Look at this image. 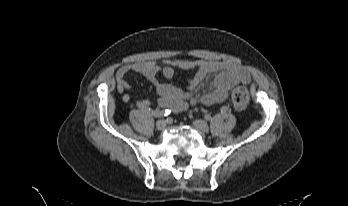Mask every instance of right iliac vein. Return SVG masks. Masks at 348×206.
I'll list each match as a JSON object with an SVG mask.
<instances>
[{
    "label": "right iliac vein",
    "instance_id": "1",
    "mask_svg": "<svg viewBox=\"0 0 348 206\" xmlns=\"http://www.w3.org/2000/svg\"><path fill=\"white\" fill-rule=\"evenodd\" d=\"M166 127V121L164 120H159L156 122V128L158 130H163Z\"/></svg>",
    "mask_w": 348,
    "mask_h": 206
}]
</instances>
